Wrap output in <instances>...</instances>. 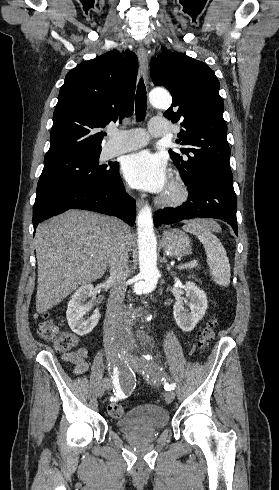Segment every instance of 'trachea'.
I'll return each instance as SVG.
<instances>
[{"label": "trachea", "instance_id": "3493384b", "mask_svg": "<svg viewBox=\"0 0 279 490\" xmlns=\"http://www.w3.org/2000/svg\"><path fill=\"white\" fill-rule=\"evenodd\" d=\"M136 119L142 121L146 115V87L141 79L136 92Z\"/></svg>", "mask_w": 279, "mask_h": 490}]
</instances>
